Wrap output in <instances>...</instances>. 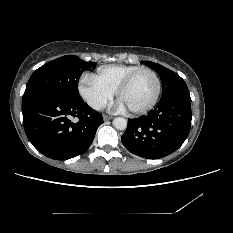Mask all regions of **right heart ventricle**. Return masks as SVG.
Here are the masks:
<instances>
[{
  "label": "right heart ventricle",
  "mask_w": 233,
  "mask_h": 233,
  "mask_svg": "<svg viewBox=\"0 0 233 233\" xmlns=\"http://www.w3.org/2000/svg\"><path fill=\"white\" fill-rule=\"evenodd\" d=\"M142 69L138 65H109L98 69L91 77L100 85L116 92L119 85L133 72Z\"/></svg>",
  "instance_id": "obj_1"
}]
</instances>
